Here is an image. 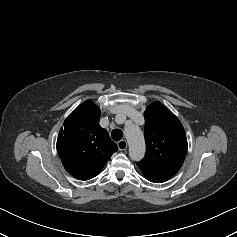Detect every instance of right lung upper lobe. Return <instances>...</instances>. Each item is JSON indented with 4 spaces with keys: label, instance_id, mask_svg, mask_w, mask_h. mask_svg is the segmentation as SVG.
I'll return each instance as SVG.
<instances>
[{
    "label": "right lung upper lobe",
    "instance_id": "cb5924a9",
    "mask_svg": "<svg viewBox=\"0 0 237 237\" xmlns=\"http://www.w3.org/2000/svg\"><path fill=\"white\" fill-rule=\"evenodd\" d=\"M100 115V109L87 100L67 117L59 132L57 152L64 168L77 179L97 176L118 150L99 125Z\"/></svg>",
    "mask_w": 237,
    "mask_h": 237
}]
</instances>
